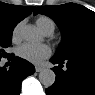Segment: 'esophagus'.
<instances>
[{
	"instance_id": "esophagus-1",
	"label": "esophagus",
	"mask_w": 95,
	"mask_h": 95,
	"mask_svg": "<svg viewBox=\"0 0 95 95\" xmlns=\"http://www.w3.org/2000/svg\"><path fill=\"white\" fill-rule=\"evenodd\" d=\"M44 68L41 66H35L36 72H41Z\"/></svg>"
}]
</instances>
